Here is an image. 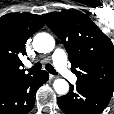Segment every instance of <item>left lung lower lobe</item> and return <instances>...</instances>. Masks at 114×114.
I'll use <instances>...</instances> for the list:
<instances>
[{
  "label": "left lung lower lobe",
  "instance_id": "0a47b994",
  "mask_svg": "<svg viewBox=\"0 0 114 114\" xmlns=\"http://www.w3.org/2000/svg\"><path fill=\"white\" fill-rule=\"evenodd\" d=\"M113 91L76 82L68 94L58 97V105L66 114H100L108 105Z\"/></svg>",
  "mask_w": 114,
  "mask_h": 114
}]
</instances>
